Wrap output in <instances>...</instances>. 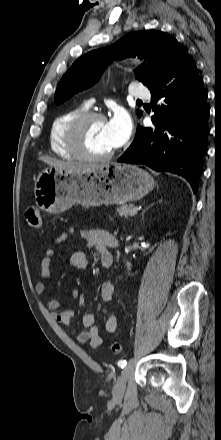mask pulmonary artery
I'll list each match as a JSON object with an SVG mask.
<instances>
[{
  "mask_svg": "<svg viewBox=\"0 0 221 440\" xmlns=\"http://www.w3.org/2000/svg\"><path fill=\"white\" fill-rule=\"evenodd\" d=\"M129 94L135 99H148L150 91L143 87L133 86L129 89Z\"/></svg>",
  "mask_w": 221,
  "mask_h": 440,
  "instance_id": "1",
  "label": "pulmonary artery"
}]
</instances>
